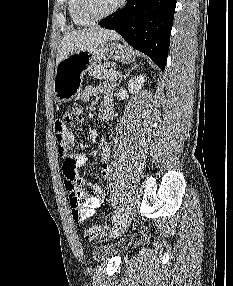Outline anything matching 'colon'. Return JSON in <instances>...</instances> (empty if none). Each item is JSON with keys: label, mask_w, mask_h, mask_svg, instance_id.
<instances>
[{"label": "colon", "mask_w": 233, "mask_h": 286, "mask_svg": "<svg viewBox=\"0 0 233 286\" xmlns=\"http://www.w3.org/2000/svg\"><path fill=\"white\" fill-rule=\"evenodd\" d=\"M83 118L84 111L80 105H73L63 112L64 122L74 129L81 128ZM81 203V200L74 192L70 193V204L73 207H79L81 206ZM106 231V226H91L84 230V238L89 242H93L104 236Z\"/></svg>", "instance_id": "obj_1"}]
</instances>
